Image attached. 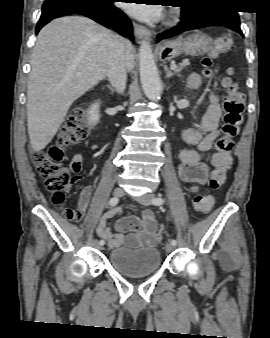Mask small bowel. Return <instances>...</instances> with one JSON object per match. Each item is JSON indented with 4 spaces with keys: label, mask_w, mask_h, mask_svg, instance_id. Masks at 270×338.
<instances>
[{
    "label": "small bowel",
    "mask_w": 270,
    "mask_h": 338,
    "mask_svg": "<svg viewBox=\"0 0 270 338\" xmlns=\"http://www.w3.org/2000/svg\"><path fill=\"white\" fill-rule=\"evenodd\" d=\"M202 84V79L198 75H193L188 81L191 90L197 89ZM221 106L218 97L211 96L205 114L200 125L196 128H190L183 132L182 138L189 144L197 145V150L183 149L180 151L179 158L181 164L179 166V175L185 182L204 183L207 180L208 166L203 160L202 152L211 149L214 140L218 137V123L221 117ZM206 133L203 136V133ZM81 156L74 154L72 157L73 165L77 169L80 168ZM192 192L197 189L193 188ZM92 187L86 186L79 193V218L81 221L89 213L91 207ZM116 211L106 213L99 225L97 233L100 237L106 239L111 245H127L132 246L137 242L147 246L156 245L161 239V232L157 230V223L151 211H145L142 218L131 216V221L140 224L139 228L127 229L124 224L117 223V232H112L111 219Z\"/></svg>",
    "instance_id": "1"
}]
</instances>
